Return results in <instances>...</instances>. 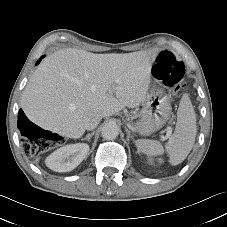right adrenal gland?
<instances>
[{
    "label": "right adrenal gland",
    "instance_id": "right-adrenal-gland-1",
    "mask_svg": "<svg viewBox=\"0 0 227 227\" xmlns=\"http://www.w3.org/2000/svg\"><path fill=\"white\" fill-rule=\"evenodd\" d=\"M94 135V132L87 134L85 138H82V140H87L88 142H90V138Z\"/></svg>",
    "mask_w": 227,
    "mask_h": 227
}]
</instances>
